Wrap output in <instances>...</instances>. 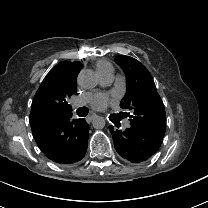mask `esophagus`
<instances>
[{
    "label": "esophagus",
    "instance_id": "34e87169",
    "mask_svg": "<svg viewBox=\"0 0 208 208\" xmlns=\"http://www.w3.org/2000/svg\"><path fill=\"white\" fill-rule=\"evenodd\" d=\"M95 117H97L96 114H92L90 116L87 117V122H91Z\"/></svg>",
    "mask_w": 208,
    "mask_h": 208
}]
</instances>
